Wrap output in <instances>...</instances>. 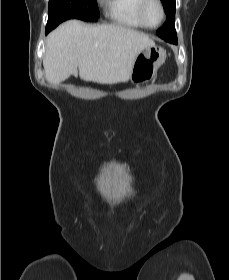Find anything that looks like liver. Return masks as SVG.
<instances>
[{"instance_id": "obj_1", "label": "liver", "mask_w": 229, "mask_h": 280, "mask_svg": "<svg viewBox=\"0 0 229 280\" xmlns=\"http://www.w3.org/2000/svg\"><path fill=\"white\" fill-rule=\"evenodd\" d=\"M155 46L148 35L120 25H86L70 20L47 37L45 78L59 84L71 75L88 82L117 84L130 79L136 57Z\"/></svg>"}]
</instances>
